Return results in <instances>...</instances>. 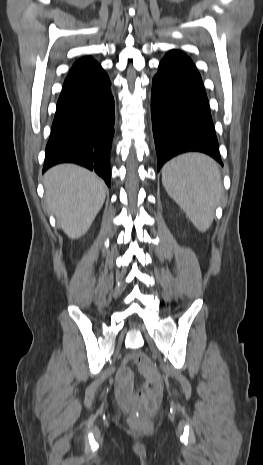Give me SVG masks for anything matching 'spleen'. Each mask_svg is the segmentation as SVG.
Listing matches in <instances>:
<instances>
[{
  "mask_svg": "<svg viewBox=\"0 0 263 465\" xmlns=\"http://www.w3.org/2000/svg\"><path fill=\"white\" fill-rule=\"evenodd\" d=\"M162 183L168 195L186 212L194 226L206 231L222 193L216 162L199 153L173 158L162 170Z\"/></svg>",
  "mask_w": 263,
  "mask_h": 465,
  "instance_id": "1",
  "label": "spleen"
}]
</instances>
